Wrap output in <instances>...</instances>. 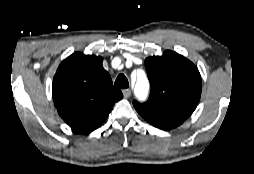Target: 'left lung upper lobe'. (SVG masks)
Masks as SVG:
<instances>
[{"label": "left lung upper lobe", "instance_id": "5c2ea615", "mask_svg": "<svg viewBox=\"0 0 254 174\" xmlns=\"http://www.w3.org/2000/svg\"><path fill=\"white\" fill-rule=\"evenodd\" d=\"M145 67L151 93L147 102H133L137 112L184 122L197 107L201 95V76L197 67L173 51L146 58Z\"/></svg>", "mask_w": 254, "mask_h": 174}]
</instances>
